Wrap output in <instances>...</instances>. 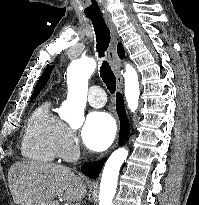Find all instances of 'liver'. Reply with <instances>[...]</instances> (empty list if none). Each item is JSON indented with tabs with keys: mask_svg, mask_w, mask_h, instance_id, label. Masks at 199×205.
<instances>
[{
	"mask_svg": "<svg viewBox=\"0 0 199 205\" xmlns=\"http://www.w3.org/2000/svg\"><path fill=\"white\" fill-rule=\"evenodd\" d=\"M13 200L17 205H58L63 196L67 202H78L87 193L85 179L70 168L47 162H15L8 174Z\"/></svg>",
	"mask_w": 199,
	"mask_h": 205,
	"instance_id": "6515ba94",
	"label": "liver"
}]
</instances>
